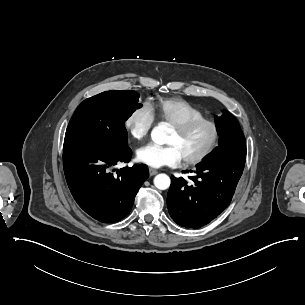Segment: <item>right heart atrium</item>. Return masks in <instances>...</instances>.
<instances>
[{
    "label": "right heart atrium",
    "mask_w": 305,
    "mask_h": 305,
    "mask_svg": "<svg viewBox=\"0 0 305 305\" xmlns=\"http://www.w3.org/2000/svg\"><path fill=\"white\" fill-rule=\"evenodd\" d=\"M154 119L149 106L140 105L126 117L125 128L133 140L140 141L150 132Z\"/></svg>",
    "instance_id": "obj_1"
}]
</instances>
